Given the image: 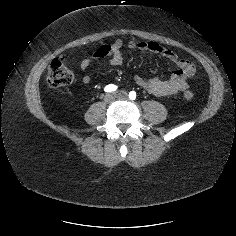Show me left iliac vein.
I'll use <instances>...</instances> for the list:
<instances>
[{"instance_id": "1", "label": "left iliac vein", "mask_w": 236, "mask_h": 236, "mask_svg": "<svg viewBox=\"0 0 236 236\" xmlns=\"http://www.w3.org/2000/svg\"><path fill=\"white\" fill-rule=\"evenodd\" d=\"M116 98L120 99H126L128 97V94L126 91H118L115 93Z\"/></svg>"}]
</instances>
